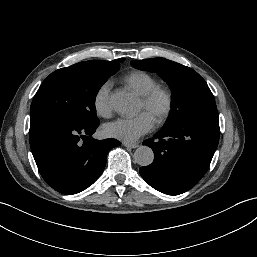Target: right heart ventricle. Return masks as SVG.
Listing matches in <instances>:
<instances>
[{
  "mask_svg": "<svg viewBox=\"0 0 257 257\" xmlns=\"http://www.w3.org/2000/svg\"><path fill=\"white\" fill-rule=\"evenodd\" d=\"M125 82L139 96H143L158 85L151 75L141 71L128 75L125 78Z\"/></svg>",
  "mask_w": 257,
  "mask_h": 257,
  "instance_id": "1",
  "label": "right heart ventricle"
}]
</instances>
